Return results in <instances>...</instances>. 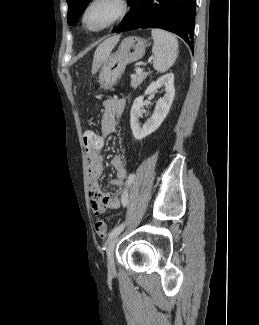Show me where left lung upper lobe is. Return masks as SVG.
<instances>
[{
  "label": "left lung upper lobe",
  "mask_w": 259,
  "mask_h": 325,
  "mask_svg": "<svg viewBox=\"0 0 259 325\" xmlns=\"http://www.w3.org/2000/svg\"><path fill=\"white\" fill-rule=\"evenodd\" d=\"M91 0H67L68 3V15L67 22L70 25H74L77 19L80 17L86 6ZM129 1V0H128Z\"/></svg>",
  "instance_id": "5c2ea615"
}]
</instances>
